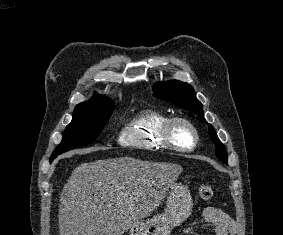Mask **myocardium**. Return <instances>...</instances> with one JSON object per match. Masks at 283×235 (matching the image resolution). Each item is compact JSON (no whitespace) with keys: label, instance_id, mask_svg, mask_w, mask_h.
I'll list each match as a JSON object with an SVG mask.
<instances>
[{"label":"myocardium","instance_id":"f54148a6","mask_svg":"<svg viewBox=\"0 0 283 235\" xmlns=\"http://www.w3.org/2000/svg\"><path fill=\"white\" fill-rule=\"evenodd\" d=\"M177 125H182L190 131L193 137V142L190 146H180L174 141L173 130ZM162 137L170 149L180 152L193 151L199 142V135L195 125L185 117L169 118L162 129Z\"/></svg>","mask_w":283,"mask_h":235}]
</instances>
